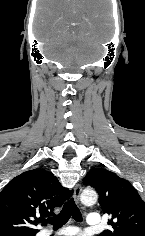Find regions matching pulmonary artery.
Listing matches in <instances>:
<instances>
[{"label": "pulmonary artery", "instance_id": "e3ab8cb5", "mask_svg": "<svg viewBox=\"0 0 145 236\" xmlns=\"http://www.w3.org/2000/svg\"><path fill=\"white\" fill-rule=\"evenodd\" d=\"M87 224L90 227H99L101 225V219L100 216L96 213H90L87 215ZM77 232V228L75 227H67L64 228L62 230H60L59 232H57L58 235H67V236H71L73 234H75ZM48 234H44V236H48Z\"/></svg>", "mask_w": 145, "mask_h": 236}]
</instances>
